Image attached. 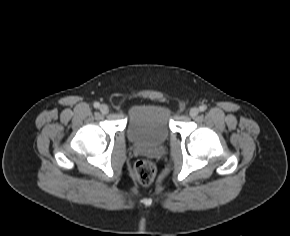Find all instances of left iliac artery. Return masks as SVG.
Returning <instances> with one entry per match:
<instances>
[{
	"mask_svg": "<svg viewBox=\"0 0 290 236\" xmlns=\"http://www.w3.org/2000/svg\"><path fill=\"white\" fill-rule=\"evenodd\" d=\"M199 110H200L201 112L205 111V110H206V106H205V105H201V106L199 107Z\"/></svg>",
	"mask_w": 290,
	"mask_h": 236,
	"instance_id": "obj_1",
	"label": "left iliac artery"
}]
</instances>
